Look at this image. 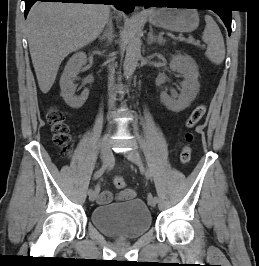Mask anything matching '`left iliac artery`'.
Segmentation results:
<instances>
[{"label": "left iliac artery", "mask_w": 259, "mask_h": 266, "mask_svg": "<svg viewBox=\"0 0 259 266\" xmlns=\"http://www.w3.org/2000/svg\"><path fill=\"white\" fill-rule=\"evenodd\" d=\"M133 127H134L135 136L138 139L139 138V135H138V125H137L136 121L134 122ZM150 176H151L150 171L147 170L146 171V177L147 178H150ZM158 202H159V196H155V203H158Z\"/></svg>", "instance_id": "44dca946"}]
</instances>
